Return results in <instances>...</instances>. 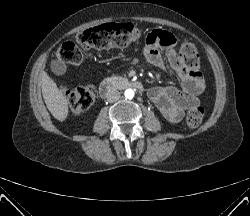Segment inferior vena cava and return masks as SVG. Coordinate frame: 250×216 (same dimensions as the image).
I'll return each mask as SVG.
<instances>
[{
  "label": "inferior vena cava",
  "instance_id": "obj_1",
  "mask_svg": "<svg viewBox=\"0 0 250 216\" xmlns=\"http://www.w3.org/2000/svg\"><path fill=\"white\" fill-rule=\"evenodd\" d=\"M107 101L108 102H115L117 100H119L120 98V92L113 89V90H110L108 93H107Z\"/></svg>",
  "mask_w": 250,
  "mask_h": 216
}]
</instances>
